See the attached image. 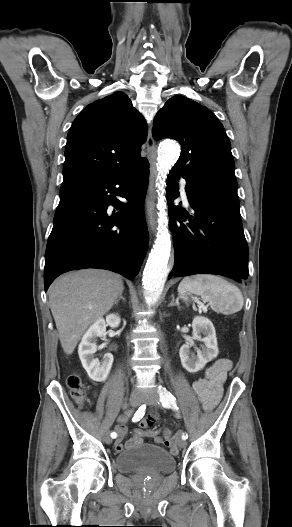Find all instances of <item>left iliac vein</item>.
Instances as JSON below:
<instances>
[{
    "label": "left iliac vein",
    "instance_id": "left-iliac-vein-1",
    "mask_svg": "<svg viewBox=\"0 0 292 527\" xmlns=\"http://www.w3.org/2000/svg\"><path fill=\"white\" fill-rule=\"evenodd\" d=\"M143 401L147 403L148 405L155 406V407H157V405L159 404L158 395L155 393H150ZM186 445L187 443L185 440L182 439L179 441V447L184 448L186 447Z\"/></svg>",
    "mask_w": 292,
    "mask_h": 527
}]
</instances>
